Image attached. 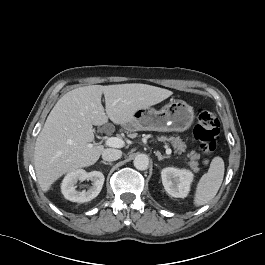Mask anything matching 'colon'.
<instances>
[{
    "label": "colon",
    "mask_w": 265,
    "mask_h": 265,
    "mask_svg": "<svg viewBox=\"0 0 265 265\" xmlns=\"http://www.w3.org/2000/svg\"><path fill=\"white\" fill-rule=\"evenodd\" d=\"M219 127L220 123L211 111L200 109L197 112V125L194 128V136L204 153L211 154L215 151L219 139Z\"/></svg>",
    "instance_id": "5ec220e1"
}]
</instances>
